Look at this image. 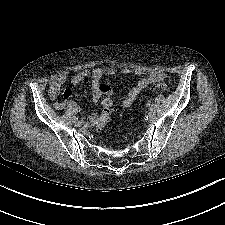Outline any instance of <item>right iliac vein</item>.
I'll return each mask as SVG.
<instances>
[{"label": "right iliac vein", "instance_id": "1", "mask_svg": "<svg viewBox=\"0 0 225 225\" xmlns=\"http://www.w3.org/2000/svg\"><path fill=\"white\" fill-rule=\"evenodd\" d=\"M75 125L78 126V127H80L82 125V121L76 120L75 121Z\"/></svg>", "mask_w": 225, "mask_h": 225}]
</instances>
